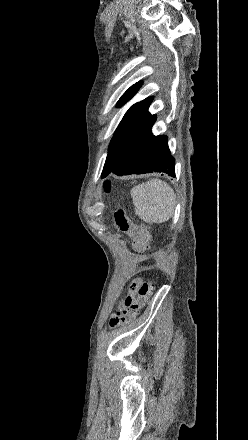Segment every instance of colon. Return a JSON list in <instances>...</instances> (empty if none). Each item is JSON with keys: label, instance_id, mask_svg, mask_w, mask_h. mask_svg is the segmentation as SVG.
<instances>
[{"label": "colon", "instance_id": "1", "mask_svg": "<svg viewBox=\"0 0 248 440\" xmlns=\"http://www.w3.org/2000/svg\"><path fill=\"white\" fill-rule=\"evenodd\" d=\"M115 222L121 231H129L131 226L123 212L115 214ZM138 250L148 251L151 249V230L148 224L140 227ZM154 283L152 280L137 278L130 285L129 293L124 301V309L118 311L110 319V326L118 328L130 324L146 305L152 293Z\"/></svg>", "mask_w": 248, "mask_h": 440}]
</instances>
